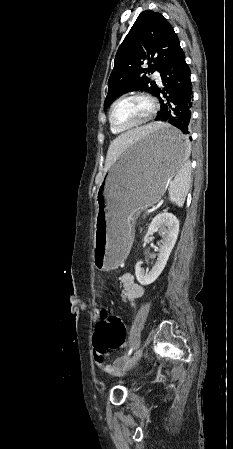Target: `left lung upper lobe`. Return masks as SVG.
Returning <instances> with one entry per match:
<instances>
[{"label": "left lung upper lobe", "mask_w": 233, "mask_h": 449, "mask_svg": "<svg viewBox=\"0 0 233 449\" xmlns=\"http://www.w3.org/2000/svg\"><path fill=\"white\" fill-rule=\"evenodd\" d=\"M180 49L177 34L162 14L152 10L140 13L116 53L104 110L126 92L154 94L157 86L146 74L161 72ZM144 62L148 68L143 67Z\"/></svg>", "instance_id": "obj_1"}]
</instances>
